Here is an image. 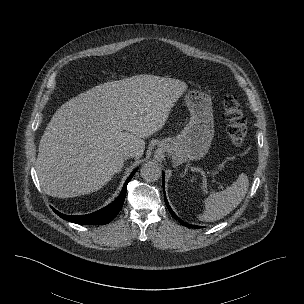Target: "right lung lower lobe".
Instances as JSON below:
<instances>
[{
  "label": "right lung lower lobe",
  "mask_w": 304,
  "mask_h": 304,
  "mask_svg": "<svg viewBox=\"0 0 304 304\" xmlns=\"http://www.w3.org/2000/svg\"><path fill=\"white\" fill-rule=\"evenodd\" d=\"M136 171H137V169L134 170L131 173V175L128 177V179L126 180L119 197L114 202L109 204L108 206H106L96 212H93V213H90L87 215H65V214L58 212L54 208H52V209L61 218L65 219L67 221L76 223V224H81V225L107 224L110 221H112L113 218L121 210L124 200H125L127 184L131 180V178L133 177V175L135 174Z\"/></svg>",
  "instance_id": "1"
}]
</instances>
